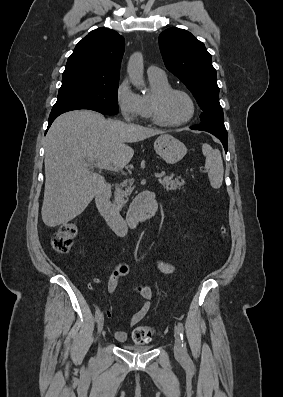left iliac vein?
<instances>
[{"mask_svg":"<svg viewBox=\"0 0 283 397\" xmlns=\"http://www.w3.org/2000/svg\"><path fill=\"white\" fill-rule=\"evenodd\" d=\"M174 355L177 359H181L183 357V351L181 349V340L177 329H175Z\"/></svg>","mask_w":283,"mask_h":397,"instance_id":"4c4485c4","label":"left iliac vein"}]
</instances>
